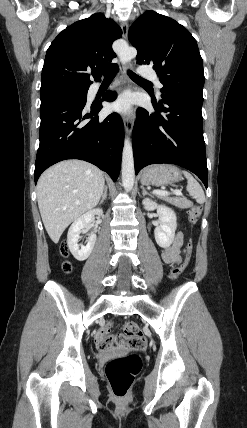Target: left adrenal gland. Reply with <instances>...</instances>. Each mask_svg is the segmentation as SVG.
<instances>
[{"label": "left adrenal gland", "instance_id": "obj_1", "mask_svg": "<svg viewBox=\"0 0 247 428\" xmlns=\"http://www.w3.org/2000/svg\"><path fill=\"white\" fill-rule=\"evenodd\" d=\"M141 189H142V194H143V195L148 194V195H150V196H151V194H149V193L147 192V190L145 189V187H144L143 185L141 186Z\"/></svg>", "mask_w": 247, "mask_h": 428}]
</instances>
